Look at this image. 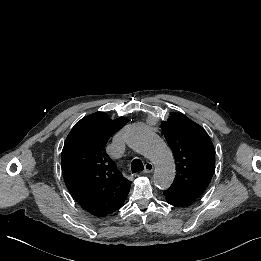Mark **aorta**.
<instances>
[{
  "label": "aorta",
  "mask_w": 261,
  "mask_h": 261,
  "mask_svg": "<svg viewBox=\"0 0 261 261\" xmlns=\"http://www.w3.org/2000/svg\"><path fill=\"white\" fill-rule=\"evenodd\" d=\"M124 137L132 150L145 156L155 165V185L160 189H167L175 177V164L166 143L158 135L141 126L127 128Z\"/></svg>",
  "instance_id": "1"
}]
</instances>
